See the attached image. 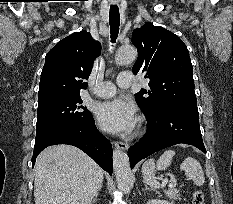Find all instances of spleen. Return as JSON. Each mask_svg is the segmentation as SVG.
Listing matches in <instances>:
<instances>
[{
    "mask_svg": "<svg viewBox=\"0 0 233 204\" xmlns=\"http://www.w3.org/2000/svg\"><path fill=\"white\" fill-rule=\"evenodd\" d=\"M175 151L166 150L156 161L154 159H148L142 166V175L144 183L149 185L152 189L160 188V182L155 177L156 170H165L171 165ZM180 169L185 172L187 177L192 178L193 182L197 186H202L205 182L204 172L200 163L193 157H187L182 164Z\"/></svg>",
    "mask_w": 233,
    "mask_h": 204,
    "instance_id": "spleen-1",
    "label": "spleen"
}]
</instances>
